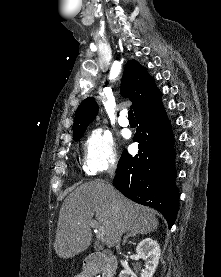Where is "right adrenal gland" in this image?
Listing matches in <instances>:
<instances>
[{
  "label": "right adrenal gland",
  "mask_w": 221,
  "mask_h": 277,
  "mask_svg": "<svg viewBox=\"0 0 221 277\" xmlns=\"http://www.w3.org/2000/svg\"><path fill=\"white\" fill-rule=\"evenodd\" d=\"M136 234H137V233H134V232H129V233H127V234L124 236L123 244H125V243L127 242L128 238L134 237V236H136Z\"/></svg>",
  "instance_id": "1"
}]
</instances>
